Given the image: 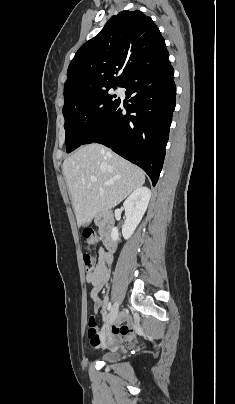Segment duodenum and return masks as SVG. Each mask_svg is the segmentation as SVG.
I'll return each instance as SVG.
<instances>
[{"label":"duodenum","instance_id":"duodenum-1","mask_svg":"<svg viewBox=\"0 0 235 404\" xmlns=\"http://www.w3.org/2000/svg\"><path fill=\"white\" fill-rule=\"evenodd\" d=\"M96 222L99 226L100 234L107 244L109 251H114V242L112 239L111 231L113 226V216L111 213L106 212L96 217Z\"/></svg>","mask_w":235,"mask_h":404}]
</instances>
